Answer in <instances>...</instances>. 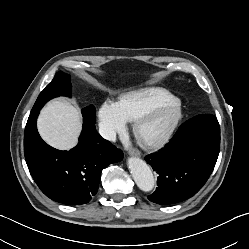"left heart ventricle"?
<instances>
[{
  "label": "left heart ventricle",
  "mask_w": 249,
  "mask_h": 249,
  "mask_svg": "<svg viewBox=\"0 0 249 249\" xmlns=\"http://www.w3.org/2000/svg\"><path fill=\"white\" fill-rule=\"evenodd\" d=\"M169 115L165 111H161L147 121L140 130L143 139L149 138L159 132L168 122Z\"/></svg>",
  "instance_id": "obj_1"
}]
</instances>
